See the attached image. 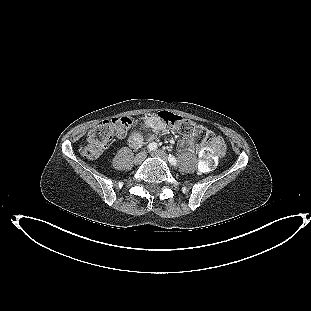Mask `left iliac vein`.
I'll list each match as a JSON object with an SVG mask.
<instances>
[{
    "instance_id": "left-iliac-vein-1",
    "label": "left iliac vein",
    "mask_w": 311,
    "mask_h": 311,
    "mask_svg": "<svg viewBox=\"0 0 311 311\" xmlns=\"http://www.w3.org/2000/svg\"><path fill=\"white\" fill-rule=\"evenodd\" d=\"M152 156L158 157L160 159H162L163 161L167 162L168 157L166 155V153L162 150H156V151H152L151 152Z\"/></svg>"
}]
</instances>
